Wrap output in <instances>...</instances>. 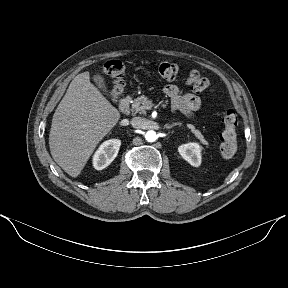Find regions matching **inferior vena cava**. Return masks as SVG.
Segmentation results:
<instances>
[{
	"mask_svg": "<svg viewBox=\"0 0 288 288\" xmlns=\"http://www.w3.org/2000/svg\"><path fill=\"white\" fill-rule=\"evenodd\" d=\"M131 124L134 128H149L150 130H156L161 126V123L158 120H148L141 117H134L131 120Z\"/></svg>",
	"mask_w": 288,
	"mask_h": 288,
	"instance_id": "inferior-vena-cava-1",
	"label": "inferior vena cava"
}]
</instances>
